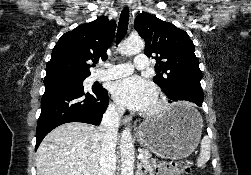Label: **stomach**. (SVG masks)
I'll return each instance as SVG.
<instances>
[{
    "label": "stomach",
    "instance_id": "0dacf381",
    "mask_svg": "<svg viewBox=\"0 0 251 175\" xmlns=\"http://www.w3.org/2000/svg\"><path fill=\"white\" fill-rule=\"evenodd\" d=\"M203 129L202 117L191 105L174 103L156 119H144L136 137L147 149L167 159L188 157L196 149Z\"/></svg>",
    "mask_w": 251,
    "mask_h": 175
}]
</instances>
